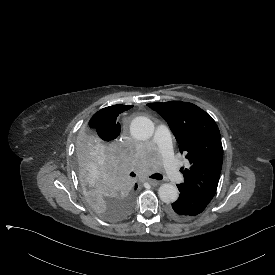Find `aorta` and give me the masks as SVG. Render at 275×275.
<instances>
[{
	"label": "aorta",
	"mask_w": 275,
	"mask_h": 275,
	"mask_svg": "<svg viewBox=\"0 0 275 275\" xmlns=\"http://www.w3.org/2000/svg\"><path fill=\"white\" fill-rule=\"evenodd\" d=\"M153 131V122L145 116H138L134 118L130 124L131 135L138 140L149 139L152 136ZM158 194L161 201L165 203H173L179 197L177 187L172 184L161 185Z\"/></svg>",
	"instance_id": "1"
}]
</instances>
